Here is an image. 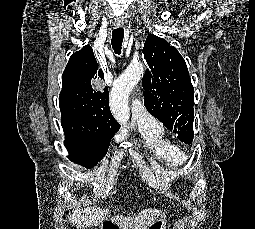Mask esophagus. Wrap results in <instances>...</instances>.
Wrapping results in <instances>:
<instances>
[{"mask_svg":"<svg viewBox=\"0 0 255 229\" xmlns=\"http://www.w3.org/2000/svg\"><path fill=\"white\" fill-rule=\"evenodd\" d=\"M115 26H116V27H123V26H124V23L121 22V21H118V22L115 23Z\"/></svg>","mask_w":255,"mask_h":229,"instance_id":"esophagus-1","label":"esophagus"}]
</instances>
